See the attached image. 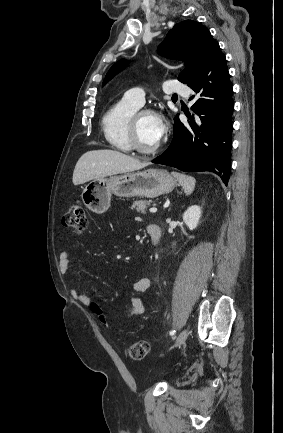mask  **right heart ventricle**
Segmentation results:
<instances>
[{"label":"right heart ventricle","mask_w":283,"mask_h":433,"mask_svg":"<svg viewBox=\"0 0 283 433\" xmlns=\"http://www.w3.org/2000/svg\"><path fill=\"white\" fill-rule=\"evenodd\" d=\"M138 108L124 97L102 116L103 135L107 142L118 151L127 153L131 150L129 125Z\"/></svg>","instance_id":"right-heart-ventricle-1"}]
</instances>
